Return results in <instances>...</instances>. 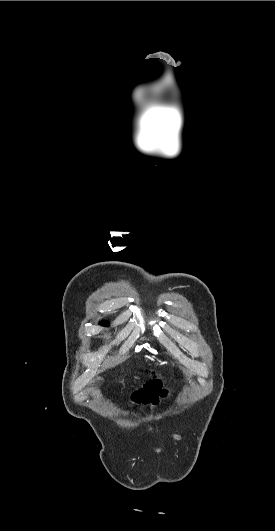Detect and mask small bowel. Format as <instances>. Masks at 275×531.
<instances>
[{
	"instance_id": "1",
	"label": "small bowel",
	"mask_w": 275,
	"mask_h": 531,
	"mask_svg": "<svg viewBox=\"0 0 275 531\" xmlns=\"http://www.w3.org/2000/svg\"><path fill=\"white\" fill-rule=\"evenodd\" d=\"M148 374L150 376H154L156 371L154 369H150ZM161 391H163L165 394H172L175 391V386L172 383H165L163 386H161L160 381H152L135 394V402L139 404H155L158 401Z\"/></svg>"
}]
</instances>
